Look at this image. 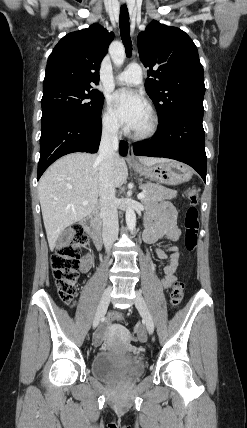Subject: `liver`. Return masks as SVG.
<instances>
[{
    "label": "liver",
    "instance_id": "obj_1",
    "mask_svg": "<svg viewBox=\"0 0 247 428\" xmlns=\"http://www.w3.org/2000/svg\"><path fill=\"white\" fill-rule=\"evenodd\" d=\"M96 154L72 153L52 164L38 185L43 222L50 250L56 247L61 233L84 219L95 209L100 195L99 168ZM145 166L170 161L166 158L139 157ZM125 160L114 158L113 183L121 187L127 180ZM87 201V205L82 202Z\"/></svg>",
    "mask_w": 247,
    "mask_h": 428
}]
</instances>
